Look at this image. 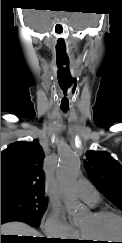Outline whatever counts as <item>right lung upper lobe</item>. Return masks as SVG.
<instances>
[{
	"mask_svg": "<svg viewBox=\"0 0 122 243\" xmlns=\"http://www.w3.org/2000/svg\"><path fill=\"white\" fill-rule=\"evenodd\" d=\"M44 152L37 140L15 142L1 152V197L44 195Z\"/></svg>",
	"mask_w": 122,
	"mask_h": 243,
	"instance_id": "right-lung-upper-lobe-1",
	"label": "right lung upper lobe"
}]
</instances>
